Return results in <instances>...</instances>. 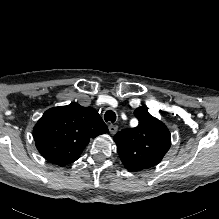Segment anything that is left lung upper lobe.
Segmentation results:
<instances>
[{"mask_svg":"<svg viewBox=\"0 0 219 219\" xmlns=\"http://www.w3.org/2000/svg\"><path fill=\"white\" fill-rule=\"evenodd\" d=\"M134 115L138 126L118 132L114 140L126 169L137 172L159 164L170 148L171 138L166 125L144 107L137 108Z\"/></svg>","mask_w":219,"mask_h":219,"instance_id":"obj_1","label":"left lung upper lobe"}]
</instances>
